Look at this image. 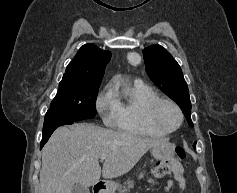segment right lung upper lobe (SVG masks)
Listing matches in <instances>:
<instances>
[{
	"instance_id": "1",
	"label": "right lung upper lobe",
	"mask_w": 237,
	"mask_h": 193,
	"mask_svg": "<svg viewBox=\"0 0 237 193\" xmlns=\"http://www.w3.org/2000/svg\"><path fill=\"white\" fill-rule=\"evenodd\" d=\"M111 53L94 44L83 45L69 63L61 82L100 85Z\"/></svg>"
}]
</instances>
